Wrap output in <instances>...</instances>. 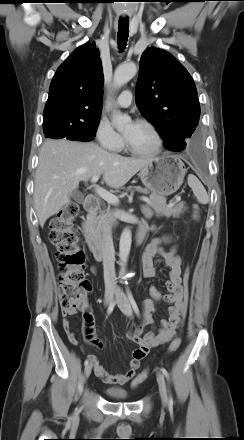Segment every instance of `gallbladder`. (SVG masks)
<instances>
[{"mask_svg": "<svg viewBox=\"0 0 244 440\" xmlns=\"http://www.w3.org/2000/svg\"><path fill=\"white\" fill-rule=\"evenodd\" d=\"M71 197L77 202H82L84 199V195L78 190L73 191Z\"/></svg>", "mask_w": 244, "mask_h": 440, "instance_id": "obj_1", "label": "gallbladder"}]
</instances>
